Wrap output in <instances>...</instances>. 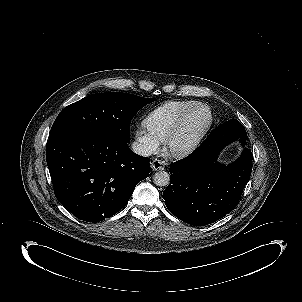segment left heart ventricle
<instances>
[{
  "instance_id": "obj_1",
  "label": "left heart ventricle",
  "mask_w": 302,
  "mask_h": 302,
  "mask_svg": "<svg viewBox=\"0 0 302 302\" xmlns=\"http://www.w3.org/2000/svg\"><path fill=\"white\" fill-rule=\"evenodd\" d=\"M207 120L205 110H197L183 122L172 139V146L175 148L188 144L201 130Z\"/></svg>"
}]
</instances>
